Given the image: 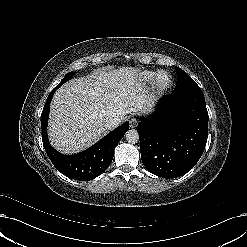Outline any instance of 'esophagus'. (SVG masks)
<instances>
[{"label":"esophagus","mask_w":247,"mask_h":247,"mask_svg":"<svg viewBox=\"0 0 247 247\" xmlns=\"http://www.w3.org/2000/svg\"><path fill=\"white\" fill-rule=\"evenodd\" d=\"M129 123H130V127H131V128H136L137 125H138V120L135 119V118H133V119H131V120L129 121Z\"/></svg>","instance_id":"34e87169"}]
</instances>
